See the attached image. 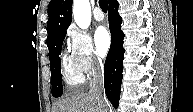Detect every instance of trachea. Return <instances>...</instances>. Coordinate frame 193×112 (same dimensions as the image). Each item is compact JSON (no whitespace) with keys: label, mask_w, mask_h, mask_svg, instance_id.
I'll return each mask as SVG.
<instances>
[{"label":"trachea","mask_w":193,"mask_h":112,"mask_svg":"<svg viewBox=\"0 0 193 112\" xmlns=\"http://www.w3.org/2000/svg\"><path fill=\"white\" fill-rule=\"evenodd\" d=\"M99 5L103 12H107V9H108L107 0H99Z\"/></svg>","instance_id":"obj_1"}]
</instances>
